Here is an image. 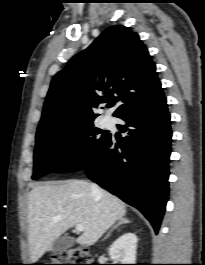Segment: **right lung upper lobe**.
<instances>
[{
	"mask_svg": "<svg viewBox=\"0 0 205 265\" xmlns=\"http://www.w3.org/2000/svg\"><path fill=\"white\" fill-rule=\"evenodd\" d=\"M161 90L155 64L138 34L111 26L54 76L37 131L94 120V109L103 103L116 105L113 115L119 117Z\"/></svg>",
	"mask_w": 205,
	"mask_h": 265,
	"instance_id": "obj_1",
	"label": "right lung upper lobe"
}]
</instances>
